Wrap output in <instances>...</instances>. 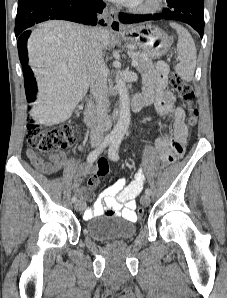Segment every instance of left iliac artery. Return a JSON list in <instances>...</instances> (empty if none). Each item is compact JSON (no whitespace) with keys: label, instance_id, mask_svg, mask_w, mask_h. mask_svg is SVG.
Listing matches in <instances>:
<instances>
[{"label":"left iliac artery","instance_id":"1","mask_svg":"<svg viewBox=\"0 0 227 298\" xmlns=\"http://www.w3.org/2000/svg\"><path fill=\"white\" fill-rule=\"evenodd\" d=\"M120 143H121V138H114V140L112 141L110 148L108 150V155L111 160L116 161L119 159L118 149H119ZM145 194L150 195L151 189L146 188Z\"/></svg>","mask_w":227,"mask_h":298}]
</instances>
